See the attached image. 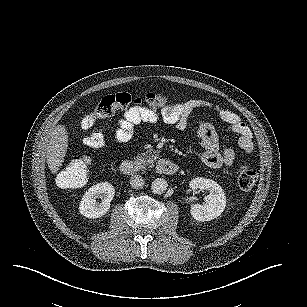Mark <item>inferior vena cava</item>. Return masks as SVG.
I'll list each match as a JSON object with an SVG mask.
<instances>
[{
    "mask_svg": "<svg viewBox=\"0 0 307 307\" xmlns=\"http://www.w3.org/2000/svg\"><path fill=\"white\" fill-rule=\"evenodd\" d=\"M130 185L133 189H142L145 185V181L142 176L134 175L130 179Z\"/></svg>",
    "mask_w": 307,
    "mask_h": 307,
    "instance_id": "obj_1",
    "label": "inferior vena cava"
}]
</instances>
